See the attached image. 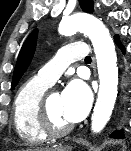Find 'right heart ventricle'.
<instances>
[{"label": "right heart ventricle", "instance_id": "right-heart-ventricle-1", "mask_svg": "<svg viewBox=\"0 0 131 151\" xmlns=\"http://www.w3.org/2000/svg\"><path fill=\"white\" fill-rule=\"evenodd\" d=\"M49 85L34 77L24 83L14 100L13 122L18 136L31 144L41 143L47 135L38 119L39 102Z\"/></svg>", "mask_w": 131, "mask_h": 151}]
</instances>
